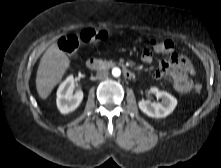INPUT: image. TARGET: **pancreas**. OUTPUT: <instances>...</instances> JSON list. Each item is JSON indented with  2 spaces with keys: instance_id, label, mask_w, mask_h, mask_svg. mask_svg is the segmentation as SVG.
I'll return each instance as SVG.
<instances>
[{
  "instance_id": "1",
  "label": "pancreas",
  "mask_w": 221,
  "mask_h": 168,
  "mask_svg": "<svg viewBox=\"0 0 221 168\" xmlns=\"http://www.w3.org/2000/svg\"><path fill=\"white\" fill-rule=\"evenodd\" d=\"M100 64L102 65V66H105V67H107V66H112L113 64H114V62L113 61H107V60H104V61H100Z\"/></svg>"
}]
</instances>
